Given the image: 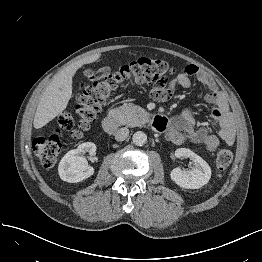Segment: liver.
<instances>
[{
  "instance_id": "obj_1",
  "label": "liver",
  "mask_w": 262,
  "mask_h": 262,
  "mask_svg": "<svg viewBox=\"0 0 262 262\" xmlns=\"http://www.w3.org/2000/svg\"><path fill=\"white\" fill-rule=\"evenodd\" d=\"M100 56L94 54L76 61L53 77L37 106L33 121L34 128H42L66 109L72 95L73 76L83 65L97 61Z\"/></svg>"
}]
</instances>
